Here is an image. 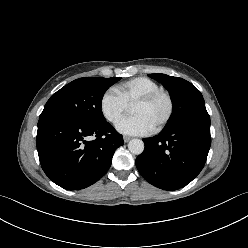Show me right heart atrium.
I'll return each instance as SVG.
<instances>
[{"label": "right heart atrium", "instance_id": "obj_1", "mask_svg": "<svg viewBox=\"0 0 248 248\" xmlns=\"http://www.w3.org/2000/svg\"><path fill=\"white\" fill-rule=\"evenodd\" d=\"M127 104L113 89L106 90L100 99L102 116L111 124H116L127 110Z\"/></svg>", "mask_w": 248, "mask_h": 248}]
</instances>
